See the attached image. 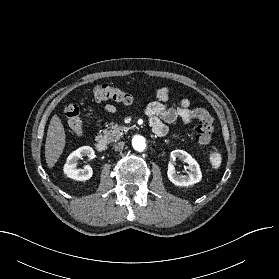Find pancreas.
I'll return each mask as SVG.
<instances>
[{
    "mask_svg": "<svg viewBox=\"0 0 279 279\" xmlns=\"http://www.w3.org/2000/svg\"><path fill=\"white\" fill-rule=\"evenodd\" d=\"M125 131L126 128L124 126L114 125L112 129L103 130V135H100V137L107 143L116 142L122 137Z\"/></svg>",
    "mask_w": 279,
    "mask_h": 279,
    "instance_id": "obj_1",
    "label": "pancreas"
}]
</instances>
